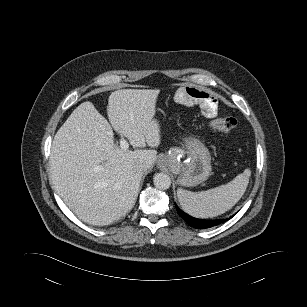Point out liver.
<instances>
[{
    "label": "liver",
    "instance_id": "1",
    "mask_svg": "<svg viewBox=\"0 0 307 307\" xmlns=\"http://www.w3.org/2000/svg\"><path fill=\"white\" fill-rule=\"evenodd\" d=\"M158 89H123L110 94L107 114L112 127L137 148L124 150L114 142L109 122L90 101L81 103L55 134L50 172L57 194L81 220L109 225L135 205L142 174L157 159L160 125L154 118ZM143 148V149H141Z\"/></svg>",
    "mask_w": 307,
    "mask_h": 307
}]
</instances>
